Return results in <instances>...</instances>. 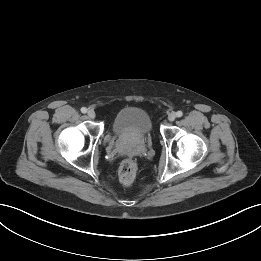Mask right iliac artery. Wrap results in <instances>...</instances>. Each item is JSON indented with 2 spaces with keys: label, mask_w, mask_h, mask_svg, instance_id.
<instances>
[{
  "label": "right iliac artery",
  "mask_w": 261,
  "mask_h": 261,
  "mask_svg": "<svg viewBox=\"0 0 261 261\" xmlns=\"http://www.w3.org/2000/svg\"><path fill=\"white\" fill-rule=\"evenodd\" d=\"M81 112H82V113H86V112H87V109H86L85 107H82V108H81Z\"/></svg>",
  "instance_id": "right-iliac-artery-1"
}]
</instances>
